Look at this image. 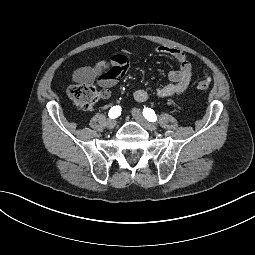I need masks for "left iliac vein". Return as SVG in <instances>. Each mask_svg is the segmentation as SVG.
Returning a JSON list of instances; mask_svg holds the SVG:
<instances>
[{
  "label": "left iliac vein",
  "instance_id": "left-iliac-vein-1",
  "mask_svg": "<svg viewBox=\"0 0 255 255\" xmlns=\"http://www.w3.org/2000/svg\"><path fill=\"white\" fill-rule=\"evenodd\" d=\"M132 115L134 119L146 130L149 131H156V126L148 122L142 115L139 109L133 108L132 109Z\"/></svg>",
  "mask_w": 255,
  "mask_h": 255
}]
</instances>
